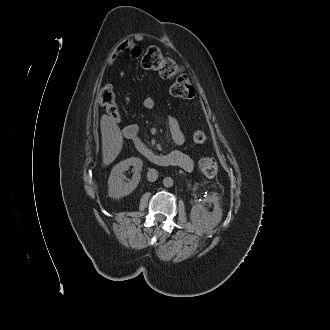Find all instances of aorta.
Wrapping results in <instances>:
<instances>
[{"label":"aorta","instance_id":"1","mask_svg":"<svg viewBox=\"0 0 330 330\" xmlns=\"http://www.w3.org/2000/svg\"><path fill=\"white\" fill-rule=\"evenodd\" d=\"M174 184V181L171 177H165L164 180H163V185L167 188H170L172 187Z\"/></svg>","mask_w":330,"mask_h":330}]
</instances>
